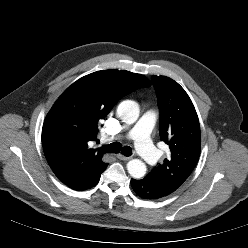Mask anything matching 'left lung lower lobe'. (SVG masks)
I'll list each match as a JSON object with an SVG mask.
<instances>
[{"mask_svg":"<svg viewBox=\"0 0 248 248\" xmlns=\"http://www.w3.org/2000/svg\"><path fill=\"white\" fill-rule=\"evenodd\" d=\"M131 186L135 193L143 199H160L166 196L156 185L146 179H131Z\"/></svg>","mask_w":248,"mask_h":248,"instance_id":"1","label":"left lung lower lobe"}]
</instances>
